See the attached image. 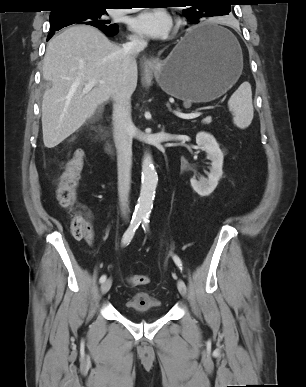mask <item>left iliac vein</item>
<instances>
[{"mask_svg": "<svg viewBox=\"0 0 306 387\" xmlns=\"http://www.w3.org/2000/svg\"><path fill=\"white\" fill-rule=\"evenodd\" d=\"M177 288L182 296L185 297L187 295V287H186V284L183 280H178Z\"/></svg>", "mask_w": 306, "mask_h": 387, "instance_id": "left-iliac-vein-1", "label": "left iliac vein"}]
</instances>
